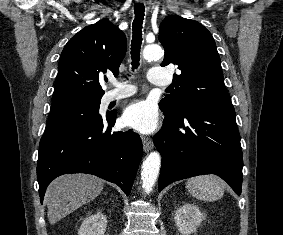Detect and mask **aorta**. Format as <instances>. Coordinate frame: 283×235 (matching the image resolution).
I'll return each mask as SVG.
<instances>
[{
  "label": "aorta",
  "instance_id": "aorta-1",
  "mask_svg": "<svg viewBox=\"0 0 283 235\" xmlns=\"http://www.w3.org/2000/svg\"><path fill=\"white\" fill-rule=\"evenodd\" d=\"M164 55L162 48L159 45H147L143 50V57L146 60L161 59ZM161 165V157L158 152H151L142 165L141 180L145 193L149 194L158 177Z\"/></svg>",
  "mask_w": 283,
  "mask_h": 235
}]
</instances>
